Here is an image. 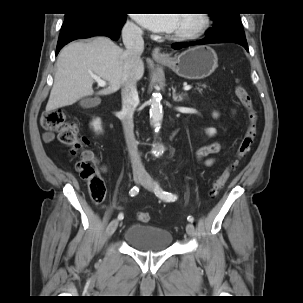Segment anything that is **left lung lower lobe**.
Segmentation results:
<instances>
[{
    "label": "left lung lower lobe",
    "instance_id": "obj_1",
    "mask_svg": "<svg viewBox=\"0 0 303 303\" xmlns=\"http://www.w3.org/2000/svg\"><path fill=\"white\" fill-rule=\"evenodd\" d=\"M225 42H234L240 44L248 51V45L245 38V35H221V36H214V37H205L199 41H194L190 43H175L173 44L174 49H181L188 46L194 45H203V44H210V43H225Z\"/></svg>",
    "mask_w": 303,
    "mask_h": 303
}]
</instances>
